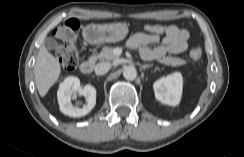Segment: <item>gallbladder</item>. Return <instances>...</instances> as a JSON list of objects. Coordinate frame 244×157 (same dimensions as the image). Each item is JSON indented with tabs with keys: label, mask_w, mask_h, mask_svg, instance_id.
Returning a JSON list of instances; mask_svg holds the SVG:
<instances>
[{
	"label": "gallbladder",
	"mask_w": 244,
	"mask_h": 157,
	"mask_svg": "<svg viewBox=\"0 0 244 157\" xmlns=\"http://www.w3.org/2000/svg\"><path fill=\"white\" fill-rule=\"evenodd\" d=\"M45 44L51 49H55L57 47V42L53 38H47Z\"/></svg>",
	"instance_id": "obj_1"
}]
</instances>
